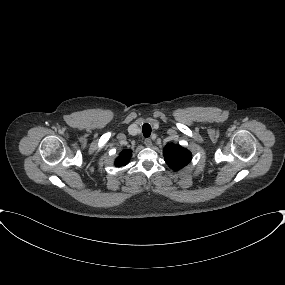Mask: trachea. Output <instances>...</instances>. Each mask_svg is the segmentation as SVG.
<instances>
[{
	"mask_svg": "<svg viewBox=\"0 0 285 285\" xmlns=\"http://www.w3.org/2000/svg\"><path fill=\"white\" fill-rule=\"evenodd\" d=\"M143 130V136L149 137L151 135V126L148 123H145L142 127Z\"/></svg>",
	"mask_w": 285,
	"mask_h": 285,
	"instance_id": "obj_1",
	"label": "trachea"
}]
</instances>
